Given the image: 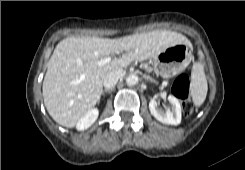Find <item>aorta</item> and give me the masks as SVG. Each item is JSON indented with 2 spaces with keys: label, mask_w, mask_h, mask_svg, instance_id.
<instances>
[{
  "label": "aorta",
  "mask_w": 245,
  "mask_h": 170,
  "mask_svg": "<svg viewBox=\"0 0 245 170\" xmlns=\"http://www.w3.org/2000/svg\"><path fill=\"white\" fill-rule=\"evenodd\" d=\"M138 82H139V78L136 74H129L126 78V83L129 86L136 85L138 84Z\"/></svg>",
  "instance_id": "1"
}]
</instances>
